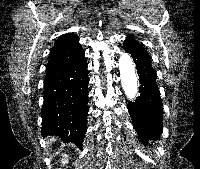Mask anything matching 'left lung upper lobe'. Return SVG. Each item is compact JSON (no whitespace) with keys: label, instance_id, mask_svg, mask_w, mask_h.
I'll return each mask as SVG.
<instances>
[{"label":"left lung upper lobe","instance_id":"1","mask_svg":"<svg viewBox=\"0 0 200 169\" xmlns=\"http://www.w3.org/2000/svg\"><path fill=\"white\" fill-rule=\"evenodd\" d=\"M127 41H129L133 47H135L138 50H144L143 45L139 44L136 40H134V38L132 36H128L126 38Z\"/></svg>","mask_w":200,"mask_h":169}]
</instances>
